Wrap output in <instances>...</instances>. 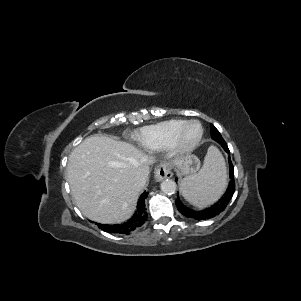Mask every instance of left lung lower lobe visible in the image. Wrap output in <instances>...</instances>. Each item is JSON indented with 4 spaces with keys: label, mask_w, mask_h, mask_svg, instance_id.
I'll return each mask as SVG.
<instances>
[{
    "label": "left lung lower lobe",
    "mask_w": 301,
    "mask_h": 301,
    "mask_svg": "<svg viewBox=\"0 0 301 301\" xmlns=\"http://www.w3.org/2000/svg\"><path fill=\"white\" fill-rule=\"evenodd\" d=\"M211 137L213 138V140L218 142L228 154H230V151L228 149L226 142L220 135H218L215 132H211ZM228 160H229V169H230V182H229L228 188H227L225 194L222 196V198L220 200H218L212 206L205 208L203 210H199V211L187 208L186 206H184L181 203L179 198H177V200L175 201L177 209L184 216H186L187 218L198 220V221L206 220V219L215 217L216 215H218L220 212H222L227 207L228 203L230 202V200L235 192L234 167L231 162L230 156L228 157Z\"/></svg>",
    "instance_id": "left-lung-lower-lobe-1"
}]
</instances>
